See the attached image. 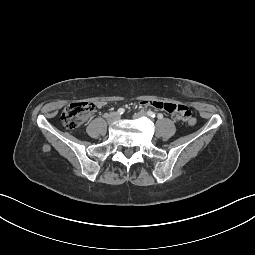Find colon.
Returning a JSON list of instances; mask_svg holds the SVG:
<instances>
[{
	"instance_id": "5ec220e1",
	"label": "colon",
	"mask_w": 255,
	"mask_h": 255,
	"mask_svg": "<svg viewBox=\"0 0 255 255\" xmlns=\"http://www.w3.org/2000/svg\"><path fill=\"white\" fill-rule=\"evenodd\" d=\"M95 111V105L89 102H74L69 104L62 112L61 119L69 129L79 128ZM189 125L196 124V118L191 116L184 120Z\"/></svg>"
}]
</instances>
